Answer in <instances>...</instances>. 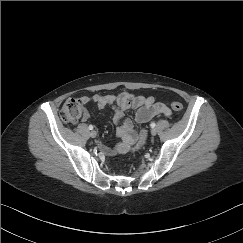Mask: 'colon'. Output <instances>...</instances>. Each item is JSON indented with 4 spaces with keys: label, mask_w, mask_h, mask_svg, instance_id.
<instances>
[{
    "label": "colon",
    "mask_w": 243,
    "mask_h": 243,
    "mask_svg": "<svg viewBox=\"0 0 243 243\" xmlns=\"http://www.w3.org/2000/svg\"><path fill=\"white\" fill-rule=\"evenodd\" d=\"M171 109L180 113L184 110V106L180 102H173L171 103ZM82 111V101L79 99L69 98L62 105L59 117L65 123H75L82 115Z\"/></svg>",
    "instance_id": "1"
}]
</instances>
